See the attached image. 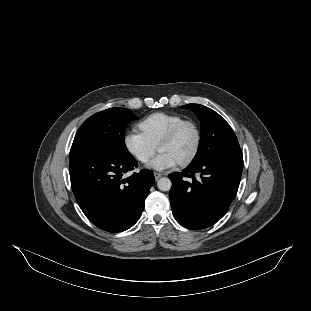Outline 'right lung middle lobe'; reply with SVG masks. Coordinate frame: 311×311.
Wrapping results in <instances>:
<instances>
[{
	"label": "right lung middle lobe",
	"mask_w": 311,
	"mask_h": 311,
	"mask_svg": "<svg viewBox=\"0 0 311 311\" xmlns=\"http://www.w3.org/2000/svg\"><path fill=\"white\" fill-rule=\"evenodd\" d=\"M138 119L126 108H110L89 117L75 135L70 155L87 148H105L129 155L124 139L126 125Z\"/></svg>",
	"instance_id": "dd1d6c3e"
}]
</instances>
